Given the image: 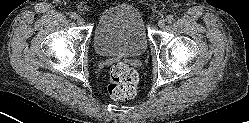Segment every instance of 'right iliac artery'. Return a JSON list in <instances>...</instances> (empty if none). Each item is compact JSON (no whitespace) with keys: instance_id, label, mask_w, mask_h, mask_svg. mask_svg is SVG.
<instances>
[{"instance_id":"1","label":"right iliac artery","mask_w":249,"mask_h":123,"mask_svg":"<svg viewBox=\"0 0 249 123\" xmlns=\"http://www.w3.org/2000/svg\"><path fill=\"white\" fill-rule=\"evenodd\" d=\"M70 17H71V19H73V20H75V19H77V14L76 13H72L71 15H70Z\"/></svg>"}]
</instances>
